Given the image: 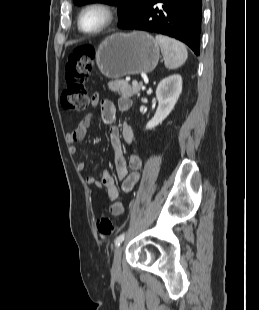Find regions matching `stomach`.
<instances>
[{"instance_id": "obj_1", "label": "stomach", "mask_w": 259, "mask_h": 310, "mask_svg": "<svg viewBox=\"0 0 259 310\" xmlns=\"http://www.w3.org/2000/svg\"><path fill=\"white\" fill-rule=\"evenodd\" d=\"M96 63L107 78L151 72L160 58L156 40L145 32L115 33L108 36L96 51Z\"/></svg>"}]
</instances>
